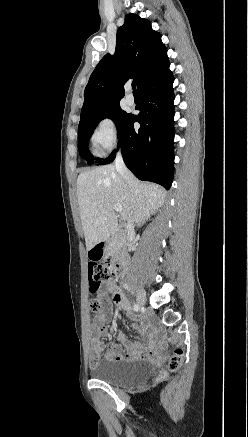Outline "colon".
I'll use <instances>...</instances> for the list:
<instances>
[{"instance_id":"colon-1","label":"colon","mask_w":248,"mask_h":437,"mask_svg":"<svg viewBox=\"0 0 248 437\" xmlns=\"http://www.w3.org/2000/svg\"><path fill=\"white\" fill-rule=\"evenodd\" d=\"M94 258L88 264L89 288L91 292L98 291L99 285L107 282L112 275L111 267L108 264L98 263L97 259ZM90 307L94 313H98L101 305L96 299H93L90 302ZM182 356L183 350L181 348L175 349L174 354L168 360L167 370L160 372L157 380H162L167 376L168 372L177 370L181 364Z\"/></svg>"}]
</instances>
